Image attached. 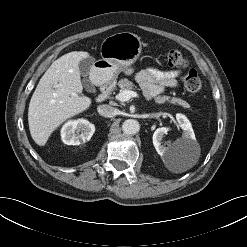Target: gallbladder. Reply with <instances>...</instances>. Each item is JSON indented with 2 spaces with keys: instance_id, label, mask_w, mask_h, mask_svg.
I'll return each instance as SVG.
<instances>
[{
  "instance_id": "bac80fb5",
  "label": "gallbladder",
  "mask_w": 247,
  "mask_h": 247,
  "mask_svg": "<svg viewBox=\"0 0 247 247\" xmlns=\"http://www.w3.org/2000/svg\"><path fill=\"white\" fill-rule=\"evenodd\" d=\"M93 64H94V58H92V57H87V58L81 60L79 63L80 74L82 76L86 77L89 74V72L91 71ZM83 84H84L87 91L95 92V88H94L93 84L88 79H85Z\"/></svg>"
}]
</instances>
